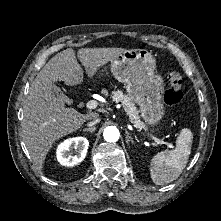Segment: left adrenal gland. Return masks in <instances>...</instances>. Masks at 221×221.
I'll list each match as a JSON object with an SVG mask.
<instances>
[{
	"label": "left adrenal gland",
	"instance_id": "a2214340",
	"mask_svg": "<svg viewBox=\"0 0 221 221\" xmlns=\"http://www.w3.org/2000/svg\"><path fill=\"white\" fill-rule=\"evenodd\" d=\"M126 133V143L129 145V143H133V138L129 135V132L125 130Z\"/></svg>",
	"mask_w": 221,
	"mask_h": 221
}]
</instances>
